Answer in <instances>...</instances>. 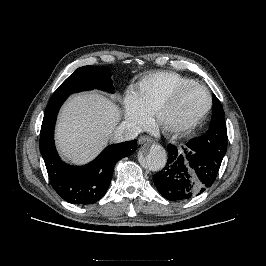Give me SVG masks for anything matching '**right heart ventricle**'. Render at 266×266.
Wrapping results in <instances>:
<instances>
[{
  "mask_svg": "<svg viewBox=\"0 0 266 266\" xmlns=\"http://www.w3.org/2000/svg\"><path fill=\"white\" fill-rule=\"evenodd\" d=\"M195 82L174 72L158 71L146 75L133 89L137 105L148 115H154L165 97L175 88Z\"/></svg>",
  "mask_w": 266,
  "mask_h": 266,
  "instance_id": "right-heart-ventricle-1",
  "label": "right heart ventricle"
}]
</instances>
